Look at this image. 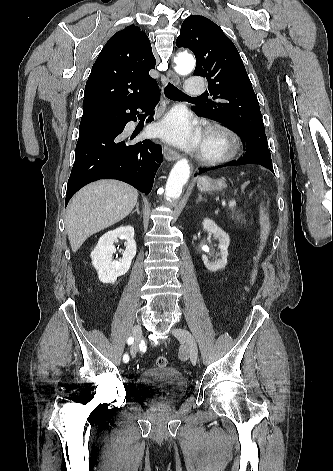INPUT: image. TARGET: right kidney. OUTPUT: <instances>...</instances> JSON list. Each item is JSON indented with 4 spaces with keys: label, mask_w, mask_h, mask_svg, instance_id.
Segmentation results:
<instances>
[{
    "label": "right kidney",
    "mask_w": 333,
    "mask_h": 471,
    "mask_svg": "<svg viewBox=\"0 0 333 471\" xmlns=\"http://www.w3.org/2000/svg\"><path fill=\"white\" fill-rule=\"evenodd\" d=\"M125 239L126 249L122 258L113 259L116 251L114 242ZM136 255V242L134 240V228L122 226L105 233L98 241L91 253L92 265L97 270L98 278L103 283H114L119 276L125 275L133 258Z\"/></svg>",
    "instance_id": "right-kidney-1"
}]
</instances>
